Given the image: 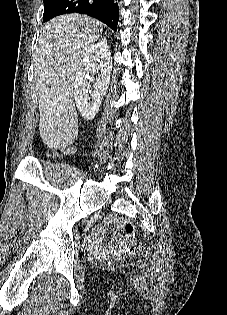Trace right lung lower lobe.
<instances>
[{"label":"right lung lower lobe","instance_id":"right-lung-lower-lobe-1","mask_svg":"<svg viewBox=\"0 0 227 315\" xmlns=\"http://www.w3.org/2000/svg\"><path fill=\"white\" fill-rule=\"evenodd\" d=\"M69 13H81L94 17L117 31L119 7L117 0H56L44 10V22Z\"/></svg>","mask_w":227,"mask_h":315}]
</instances>
